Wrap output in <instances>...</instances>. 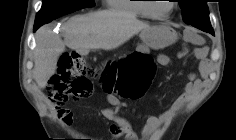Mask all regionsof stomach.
I'll return each instance as SVG.
<instances>
[{
  "label": "stomach",
  "instance_id": "obj_1",
  "mask_svg": "<svg viewBox=\"0 0 236 140\" xmlns=\"http://www.w3.org/2000/svg\"><path fill=\"white\" fill-rule=\"evenodd\" d=\"M176 31L167 24H159L144 32V42L153 49H162L177 41Z\"/></svg>",
  "mask_w": 236,
  "mask_h": 140
}]
</instances>
